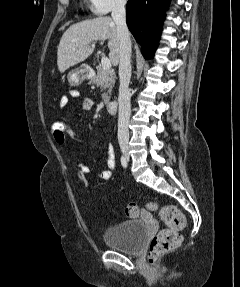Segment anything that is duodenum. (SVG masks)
<instances>
[{
  "label": "duodenum",
  "mask_w": 240,
  "mask_h": 287,
  "mask_svg": "<svg viewBox=\"0 0 240 287\" xmlns=\"http://www.w3.org/2000/svg\"><path fill=\"white\" fill-rule=\"evenodd\" d=\"M106 108H107L109 113L114 114L116 112V109H117V101H115V100L108 101L106 104Z\"/></svg>",
  "instance_id": "duodenum-1"
}]
</instances>
